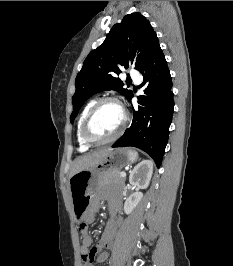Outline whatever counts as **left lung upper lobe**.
<instances>
[{
  "label": "left lung upper lobe",
  "instance_id": "obj_1",
  "mask_svg": "<svg viewBox=\"0 0 233 266\" xmlns=\"http://www.w3.org/2000/svg\"><path fill=\"white\" fill-rule=\"evenodd\" d=\"M157 45L156 32L140 13L126 15L121 23L115 24L104 42L88 54L76 77L70 122L73 123L85 101L98 92L116 90L129 99L132 91L117 78L121 67L127 69L132 64L139 70Z\"/></svg>",
  "mask_w": 233,
  "mask_h": 266
}]
</instances>
